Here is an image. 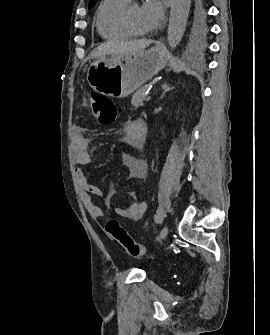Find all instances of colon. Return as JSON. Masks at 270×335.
<instances>
[{
  "instance_id": "1",
  "label": "colon",
  "mask_w": 270,
  "mask_h": 335,
  "mask_svg": "<svg viewBox=\"0 0 270 335\" xmlns=\"http://www.w3.org/2000/svg\"><path fill=\"white\" fill-rule=\"evenodd\" d=\"M90 98L93 115L103 126L111 125L117 116V111L112 99L96 91L91 92ZM106 230L113 240L130 256L142 257L145 254L144 247L132 239L117 218L109 217L106 219Z\"/></svg>"
}]
</instances>
